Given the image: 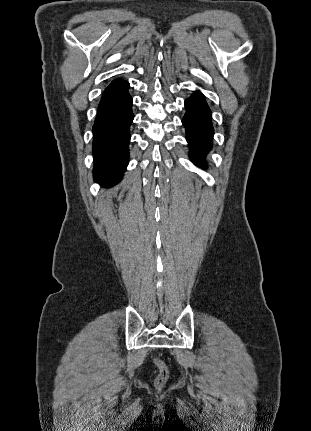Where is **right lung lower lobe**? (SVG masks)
<instances>
[{
  "mask_svg": "<svg viewBox=\"0 0 311 431\" xmlns=\"http://www.w3.org/2000/svg\"><path fill=\"white\" fill-rule=\"evenodd\" d=\"M129 83L116 79L105 89L93 126V175L96 182L112 186L128 165L129 127L133 120Z\"/></svg>",
  "mask_w": 311,
  "mask_h": 431,
  "instance_id": "right-lung-lower-lobe-1",
  "label": "right lung lower lobe"
}]
</instances>
